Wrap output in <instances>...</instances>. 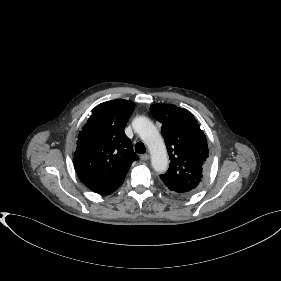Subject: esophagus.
Returning <instances> with one entry per match:
<instances>
[{"mask_svg": "<svg viewBox=\"0 0 281 281\" xmlns=\"http://www.w3.org/2000/svg\"><path fill=\"white\" fill-rule=\"evenodd\" d=\"M149 158H150L149 154H142V155L140 156V159H141L142 161H147Z\"/></svg>", "mask_w": 281, "mask_h": 281, "instance_id": "obj_1", "label": "esophagus"}]
</instances>
